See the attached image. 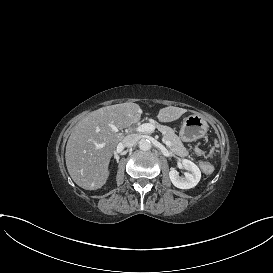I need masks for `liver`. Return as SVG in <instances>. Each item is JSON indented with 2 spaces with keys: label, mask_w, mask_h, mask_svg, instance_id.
<instances>
[{
  "label": "liver",
  "mask_w": 273,
  "mask_h": 273,
  "mask_svg": "<svg viewBox=\"0 0 273 273\" xmlns=\"http://www.w3.org/2000/svg\"><path fill=\"white\" fill-rule=\"evenodd\" d=\"M186 112L184 108L168 106L158 111L156 119L170 123ZM143 113L139 104L126 102L91 111L78 122L67 141L65 162L70 177L79 187L95 191L106 184L111 158L123 140L109 125L126 128L140 121ZM104 141L107 145L96 149Z\"/></svg>",
  "instance_id": "liver-1"
}]
</instances>
